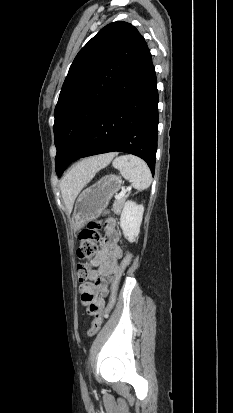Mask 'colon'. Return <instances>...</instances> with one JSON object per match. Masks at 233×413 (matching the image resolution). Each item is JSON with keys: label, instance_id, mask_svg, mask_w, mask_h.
<instances>
[{"label": "colon", "instance_id": "1", "mask_svg": "<svg viewBox=\"0 0 233 413\" xmlns=\"http://www.w3.org/2000/svg\"><path fill=\"white\" fill-rule=\"evenodd\" d=\"M101 228L102 226L100 221L90 220L87 222L86 226L81 230L79 234L80 246L77 249V256L80 259L86 261L85 263L77 265L78 278L82 282L89 280L93 274L94 270L92 266V260L97 253V245L101 239ZM131 259V254H127L123 259L119 268L118 277L116 281L113 283L111 296L107 305L99 308H92L90 304H88L89 308L95 311L94 319L91 323L90 328L87 331V335L89 337L94 336L100 330L104 322V319L109 315L110 311L112 310L117 297L119 280L126 268L128 267V265L130 264Z\"/></svg>", "mask_w": 233, "mask_h": 413}]
</instances>
